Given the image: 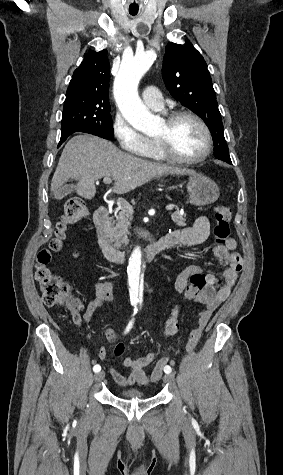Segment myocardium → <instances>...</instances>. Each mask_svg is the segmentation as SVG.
<instances>
[{
  "mask_svg": "<svg viewBox=\"0 0 283 475\" xmlns=\"http://www.w3.org/2000/svg\"><path fill=\"white\" fill-rule=\"evenodd\" d=\"M183 117H189V118L194 119L202 127L205 133L204 149L202 150L200 154L193 157H189V158L175 157L173 155L168 154V152L166 151L168 140L161 139V138H154L157 145L159 156L166 163L168 162H195L196 164L206 159L212 151L211 131L208 125L206 124V122L196 113H193L191 111H173L169 113L166 116V120H165L168 127V132L171 131L172 126L175 124V122Z\"/></svg>",
  "mask_w": 283,
  "mask_h": 475,
  "instance_id": "myocardium-1",
  "label": "myocardium"
}]
</instances>
